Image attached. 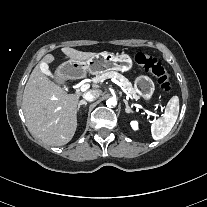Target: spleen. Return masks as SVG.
<instances>
[{
    "instance_id": "3e777b00",
    "label": "spleen",
    "mask_w": 207,
    "mask_h": 207,
    "mask_svg": "<svg viewBox=\"0 0 207 207\" xmlns=\"http://www.w3.org/2000/svg\"><path fill=\"white\" fill-rule=\"evenodd\" d=\"M179 113V98L173 96L168 104L164 114V119H159L156 123L151 126L152 138L156 141L163 140L174 127ZM137 122V121H135Z\"/></svg>"
}]
</instances>
